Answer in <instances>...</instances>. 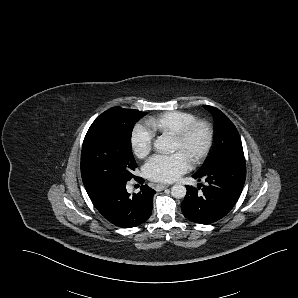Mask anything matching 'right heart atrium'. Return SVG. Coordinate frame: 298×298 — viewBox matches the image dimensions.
I'll use <instances>...</instances> for the list:
<instances>
[{"label": "right heart atrium", "instance_id": "right-heart-atrium-1", "mask_svg": "<svg viewBox=\"0 0 298 298\" xmlns=\"http://www.w3.org/2000/svg\"><path fill=\"white\" fill-rule=\"evenodd\" d=\"M131 142L138 157H145L154 146L153 134L144 126L137 124L133 128Z\"/></svg>", "mask_w": 298, "mask_h": 298}]
</instances>
